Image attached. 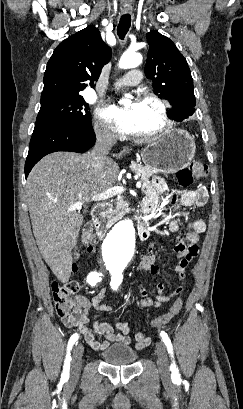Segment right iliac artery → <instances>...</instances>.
Listing matches in <instances>:
<instances>
[{
  "instance_id": "82829eb1",
  "label": "right iliac artery",
  "mask_w": 243,
  "mask_h": 409,
  "mask_svg": "<svg viewBox=\"0 0 243 409\" xmlns=\"http://www.w3.org/2000/svg\"><path fill=\"white\" fill-rule=\"evenodd\" d=\"M101 273L98 272H91L89 273V275L87 276V282L91 285V286H95L97 282H99L101 280ZM78 334H73L68 342V346H67V354H66V358H65V363H64V369H63V373L61 376V379L66 381L69 377V369H70V361H71V356H70V350L72 349L73 345L75 344V342L78 340Z\"/></svg>"
}]
</instances>
